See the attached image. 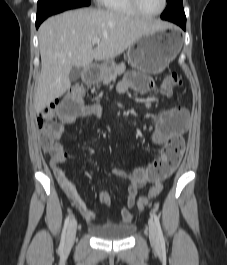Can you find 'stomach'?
Here are the masks:
<instances>
[{"mask_svg": "<svg viewBox=\"0 0 227 265\" xmlns=\"http://www.w3.org/2000/svg\"><path fill=\"white\" fill-rule=\"evenodd\" d=\"M181 49L180 36L175 32L156 31L137 39L127 52L128 61L135 69L147 74H159L175 59ZM115 67L109 61L96 67L90 82H98Z\"/></svg>", "mask_w": 227, "mask_h": 265, "instance_id": "obj_1", "label": "stomach"}]
</instances>
